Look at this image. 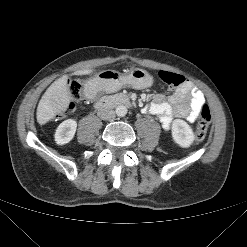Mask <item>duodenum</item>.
Returning a JSON list of instances; mask_svg holds the SVG:
<instances>
[{
    "label": "duodenum",
    "instance_id": "1",
    "mask_svg": "<svg viewBox=\"0 0 247 247\" xmlns=\"http://www.w3.org/2000/svg\"><path fill=\"white\" fill-rule=\"evenodd\" d=\"M99 109H109L117 106L131 107L132 102L130 98L124 94H114L101 97L95 102Z\"/></svg>",
    "mask_w": 247,
    "mask_h": 247
}]
</instances>
